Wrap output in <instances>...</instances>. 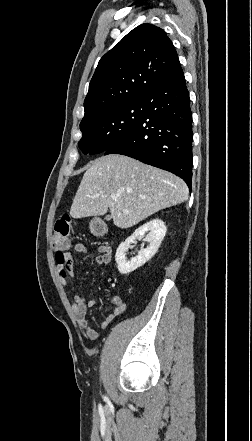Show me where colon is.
I'll return each instance as SVG.
<instances>
[{"label":"colon","instance_id":"colon-1","mask_svg":"<svg viewBox=\"0 0 252 441\" xmlns=\"http://www.w3.org/2000/svg\"><path fill=\"white\" fill-rule=\"evenodd\" d=\"M70 231V218L61 217L55 224L53 236V249L56 253L58 262H65L67 251L70 247L68 239Z\"/></svg>","mask_w":252,"mask_h":441}]
</instances>
